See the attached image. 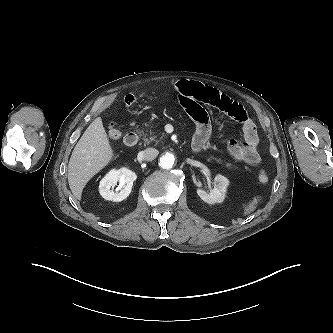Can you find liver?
<instances>
[{"mask_svg":"<svg viewBox=\"0 0 333 333\" xmlns=\"http://www.w3.org/2000/svg\"><path fill=\"white\" fill-rule=\"evenodd\" d=\"M113 156L102 119L97 117L77 142L68 164V183L77 200H81L88 181L108 165Z\"/></svg>","mask_w":333,"mask_h":333,"instance_id":"1","label":"liver"}]
</instances>
